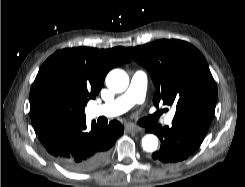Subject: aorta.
I'll return each mask as SVG.
<instances>
[{
  "instance_id": "1",
  "label": "aorta",
  "mask_w": 245,
  "mask_h": 187,
  "mask_svg": "<svg viewBox=\"0 0 245 187\" xmlns=\"http://www.w3.org/2000/svg\"><path fill=\"white\" fill-rule=\"evenodd\" d=\"M106 85L113 92H123L129 85V77L125 71L114 69L106 77ZM158 139L153 134H147L142 139V147L147 152H153L157 149Z\"/></svg>"
}]
</instances>
